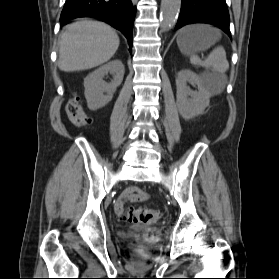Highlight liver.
Returning a JSON list of instances; mask_svg holds the SVG:
<instances>
[{"label":"liver","mask_w":279,"mask_h":279,"mask_svg":"<svg viewBox=\"0 0 279 279\" xmlns=\"http://www.w3.org/2000/svg\"><path fill=\"white\" fill-rule=\"evenodd\" d=\"M59 44L58 67L64 72H73L110 60L119 47V37L105 23L80 19L66 26Z\"/></svg>","instance_id":"obj_1"}]
</instances>
